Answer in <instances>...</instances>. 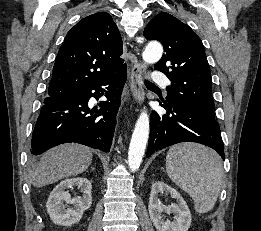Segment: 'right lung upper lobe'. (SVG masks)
Here are the masks:
<instances>
[{
  "mask_svg": "<svg viewBox=\"0 0 261 231\" xmlns=\"http://www.w3.org/2000/svg\"><path fill=\"white\" fill-rule=\"evenodd\" d=\"M122 40L112 17L98 12L67 33L53 67L48 95L66 98L124 69Z\"/></svg>",
  "mask_w": 261,
  "mask_h": 231,
  "instance_id": "cb5924a9",
  "label": "right lung upper lobe"
}]
</instances>
